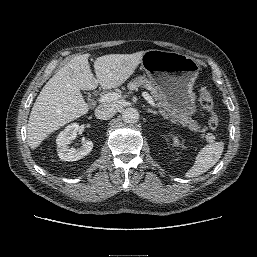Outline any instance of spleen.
<instances>
[{"label":"spleen","instance_id":"spleen-1","mask_svg":"<svg viewBox=\"0 0 257 257\" xmlns=\"http://www.w3.org/2000/svg\"><path fill=\"white\" fill-rule=\"evenodd\" d=\"M224 142L219 141L203 147L195 158L194 165L186 172V178H193L207 172L220 159Z\"/></svg>","mask_w":257,"mask_h":257}]
</instances>
